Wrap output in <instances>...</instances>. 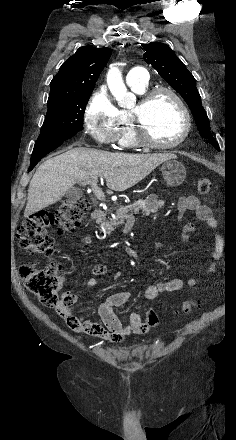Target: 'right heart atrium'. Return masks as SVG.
<instances>
[{"instance_id":"right-heart-atrium-1","label":"right heart atrium","mask_w":236,"mask_h":440,"mask_svg":"<svg viewBox=\"0 0 236 440\" xmlns=\"http://www.w3.org/2000/svg\"><path fill=\"white\" fill-rule=\"evenodd\" d=\"M88 135L100 145L117 143L118 114L107 90L101 86L90 95L83 113Z\"/></svg>"}]
</instances>
